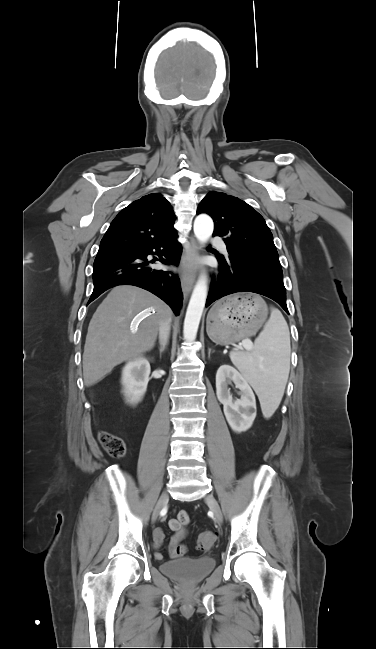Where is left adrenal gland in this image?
Segmentation results:
<instances>
[{
    "instance_id": "obj_1",
    "label": "left adrenal gland",
    "mask_w": 376,
    "mask_h": 649,
    "mask_svg": "<svg viewBox=\"0 0 376 649\" xmlns=\"http://www.w3.org/2000/svg\"><path fill=\"white\" fill-rule=\"evenodd\" d=\"M211 348L208 349V357L210 358Z\"/></svg>"
}]
</instances>
